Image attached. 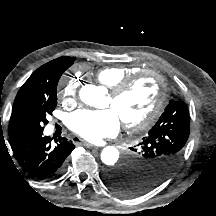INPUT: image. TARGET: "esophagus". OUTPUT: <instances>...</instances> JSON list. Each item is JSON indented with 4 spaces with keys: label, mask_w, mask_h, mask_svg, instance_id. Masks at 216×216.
I'll return each instance as SVG.
<instances>
[{
    "label": "esophagus",
    "mask_w": 216,
    "mask_h": 216,
    "mask_svg": "<svg viewBox=\"0 0 216 216\" xmlns=\"http://www.w3.org/2000/svg\"><path fill=\"white\" fill-rule=\"evenodd\" d=\"M72 141L73 143L75 144H81V145H84V146H87V147H90V148H97L95 145L85 141L84 139H82L81 137L79 136H73L72 137Z\"/></svg>",
    "instance_id": "34e87169"
}]
</instances>
